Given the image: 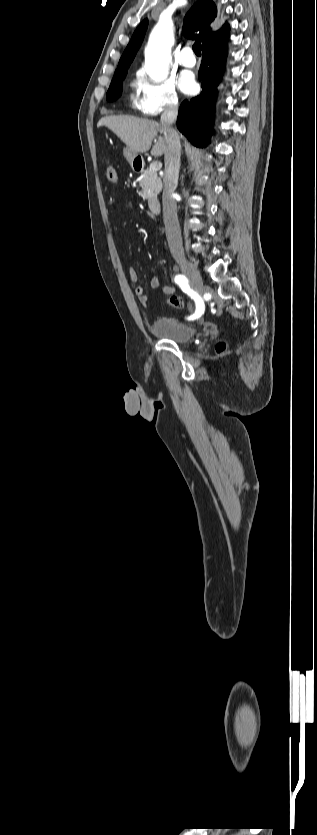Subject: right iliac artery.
<instances>
[{
    "label": "right iliac artery",
    "mask_w": 317,
    "mask_h": 835,
    "mask_svg": "<svg viewBox=\"0 0 317 835\" xmlns=\"http://www.w3.org/2000/svg\"><path fill=\"white\" fill-rule=\"evenodd\" d=\"M175 282L180 286V288L186 294H188L195 301L196 311H195V314L190 317V319L199 318L204 313V310H205L204 301L202 300V298L200 297V295L198 293H196L194 290H192L190 288V286L188 285V279L184 275H181V274L176 275L175 276Z\"/></svg>",
    "instance_id": "obj_1"
}]
</instances>
